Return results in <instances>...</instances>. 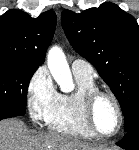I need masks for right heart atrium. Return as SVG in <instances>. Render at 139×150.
<instances>
[{"mask_svg":"<svg viewBox=\"0 0 139 150\" xmlns=\"http://www.w3.org/2000/svg\"><path fill=\"white\" fill-rule=\"evenodd\" d=\"M57 96L52 80L44 68L37 69L27 87V106L35 122L44 121L45 115Z\"/></svg>","mask_w":139,"mask_h":150,"instance_id":"d8ad5b80","label":"right heart atrium"}]
</instances>
